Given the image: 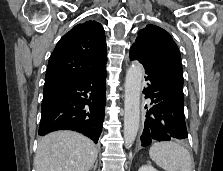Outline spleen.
<instances>
[{"mask_svg":"<svg viewBox=\"0 0 223 171\" xmlns=\"http://www.w3.org/2000/svg\"><path fill=\"white\" fill-rule=\"evenodd\" d=\"M149 156L165 171H192L190 153L178 143H155L150 147Z\"/></svg>","mask_w":223,"mask_h":171,"instance_id":"obj_1","label":"spleen"}]
</instances>
